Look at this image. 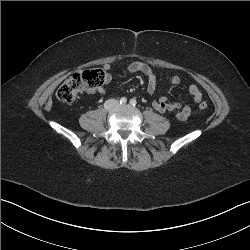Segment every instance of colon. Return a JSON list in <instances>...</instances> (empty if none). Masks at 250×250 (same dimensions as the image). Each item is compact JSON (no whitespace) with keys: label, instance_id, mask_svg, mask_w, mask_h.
Segmentation results:
<instances>
[{"label":"colon","instance_id":"1","mask_svg":"<svg viewBox=\"0 0 250 250\" xmlns=\"http://www.w3.org/2000/svg\"><path fill=\"white\" fill-rule=\"evenodd\" d=\"M105 82V75L102 70H82L74 73L64 81L57 89V98L65 103L73 102L81 93L95 92ZM200 110H206V102L199 104Z\"/></svg>","mask_w":250,"mask_h":250}]
</instances>
